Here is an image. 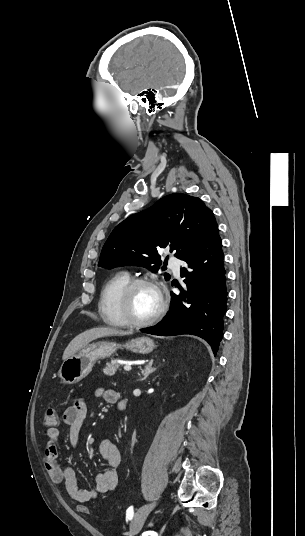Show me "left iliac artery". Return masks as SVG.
I'll list each match as a JSON object with an SVG mask.
<instances>
[{"label":"left iliac artery","instance_id":"1","mask_svg":"<svg viewBox=\"0 0 305 536\" xmlns=\"http://www.w3.org/2000/svg\"><path fill=\"white\" fill-rule=\"evenodd\" d=\"M133 507H129L126 511V518L131 520L133 518Z\"/></svg>","mask_w":305,"mask_h":536}]
</instances>
